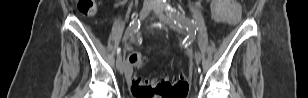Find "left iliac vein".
Masks as SVG:
<instances>
[{
  "label": "left iliac vein",
  "mask_w": 308,
  "mask_h": 98,
  "mask_svg": "<svg viewBox=\"0 0 308 98\" xmlns=\"http://www.w3.org/2000/svg\"><path fill=\"white\" fill-rule=\"evenodd\" d=\"M154 15L161 20L162 22L166 23L168 26H170L174 31L178 33H183V29L179 27L176 23H174L173 19L168 16L164 11H162L160 8L154 9ZM194 59L195 62L199 65L200 63V53L198 51H195L194 53Z\"/></svg>",
  "instance_id": "1"
}]
</instances>
